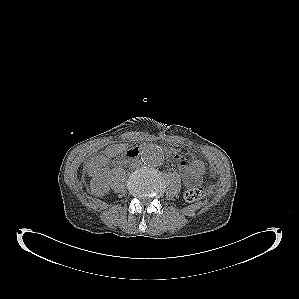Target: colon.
Segmentation results:
<instances>
[{"mask_svg":"<svg viewBox=\"0 0 299 299\" xmlns=\"http://www.w3.org/2000/svg\"><path fill=\"white\" fill-rule=\"evenodd\" d=\"M190 171L197 182H200L206 174V169L202 161L195 156L189 157ZM205 190L202 187H192L185 192V199L188 202H197L203 199Z\"/></svg>","mask_w":299,"mask_h":299,"instance_id":"obj_1","label":"colon"}]
</instances>
